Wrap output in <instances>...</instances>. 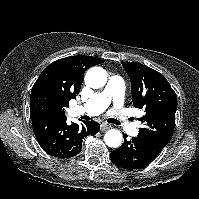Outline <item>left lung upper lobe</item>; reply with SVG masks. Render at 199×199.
I'll return each mask as SVG.
<instances>
[{
  "mask_svg": "<svg viewBox=\"0 0 199 199\" xmlns=\"http://www.w3.org/2000/svg\"><path fill=\"white\" fill-rule=\"evenodd\" d=\"M122 65L131 81L133 104L145 111L141 118L145 126L139 134L166 146L175 126L176 93L167 79L154 69L135 62Z\"/></svg>",
  "mask_w": 199,
  "mask_h": 199,
  "instance_id": "left-lung-upper-lobe-1",
  "label": "left lung upper lobe"
}]
</instances>
